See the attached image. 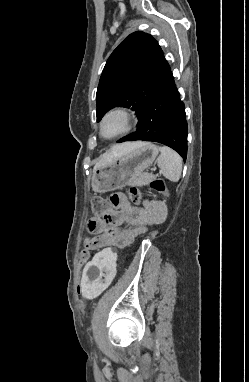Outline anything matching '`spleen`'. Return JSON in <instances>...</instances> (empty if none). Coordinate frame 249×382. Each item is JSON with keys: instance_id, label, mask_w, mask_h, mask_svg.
<instances>
[{"instance_id": "1", "label": "spleen", "mask_w": 249, "mask_h": 382, "mask_svg": "<svg viewBox=\"0 0 249 382\" xmlns=\"http://www.w3.org/2000/svg\"><path fill=\"white\" fill-rule=\"evenodd\" d=\"M157 165L165 178L172 182L179 181L182 173V159L180 155L169 147L160 148Z\"/></svg>"}]
</instances>
